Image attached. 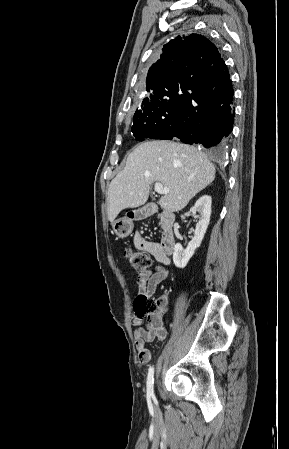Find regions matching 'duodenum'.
<instances>
[{
  "label": "duodenum",
  "mask_w": 289,
  "mask_h": 449,
  "mask_svg": "<svg viewBox=\"0 0 289 449\" xmlns=\"http://www.w3.org/2000/svg\"><path fill=\"white\" fill-rule=\"evenodd\" d=\"M144 212L147 215L159 213L162 224L160 248L166 255L171 254L175 246V236L173 231V224L175 221L174 213L166 209L159 210L156 206H149Z\"/></svg>",
  "instance_id": "obj_1"
}]
</instances>
